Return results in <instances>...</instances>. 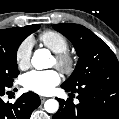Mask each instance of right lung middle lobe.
Returning <instances> with one entry per match:
<instances>
[{
  "label": "right lung middle lobe",
  "instance_id": "right-lung-middle-lobe-1",
  "mask_svg": "<svg viewBox=\"0 0 119 119\" xmlns=\"http://www.w3.org/2000/svg\"><path fill=\"white\" fill-rule=\"evenodd\" d=\"M40 25L34 24L25 36L0 35V85L11 86L19 75L17 65V50L21 42L31 33L38 30Z\"/></svg>",
  "mask_w": 119,
  "mask_h": 119
}]
</instances>
